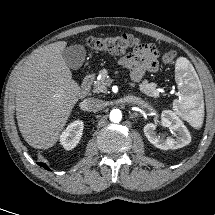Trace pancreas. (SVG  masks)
I'll return each mask as SVG.
<instances>
[{"mask_svg":"<svg viewBox=\"0 0 215 215\" xmlns=\"http://www.w3.org/2000/svg\"><path fill=\"white\" fill-rule=\"evenodd\" d=\"M100 78L94 81L93 84V92L94 93H106L107 92V86L111 84V79L107 78L108 71L106 69H103L99 73ZM139 89L150 96H155L157 94L156 85L150 84L147 81H143L139 85Z\"/></svg>","mask_w":215,"mask_h":215,"instance_id":"pancreas-1","label":"pancreas"}]
</instances>
